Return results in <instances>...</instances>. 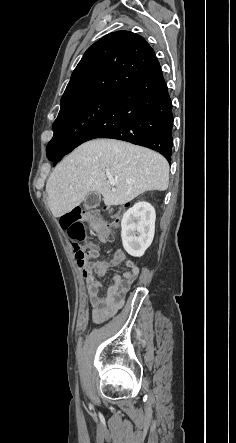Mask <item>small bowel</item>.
Returning a JSON list of instances; mask_svg holds the SVG:
<instances>
[{
	"mask_svg": "<svg viewBox=\"0 0 236 443\" xmlns=\"http://www.w3.org/2000/svg\"><path fill=\"white\" fill-rule=\"evenodd\" d=\"M102 243H110L108 236L99 235ZM91 250L98 254L99 249L95 244H89ZM124 264L126 270L122 275L116 274L106 294L102 295V283L97 277L104 276L112 267ZM77 265L81 271L82 278L86 284L88 301L92 309V318L95 322H102L112 316L125 303L126 296L130 291L132 284L139 274V266L134 260L127 257L126 254L118 249L114 252L109 261H92L79 263Z\"/></svg>",
	"mask_w": 236,
	"mask_h": 443,
	"instance_id": "obj_1",
	"label": "small bowel"
}]
</instances>
